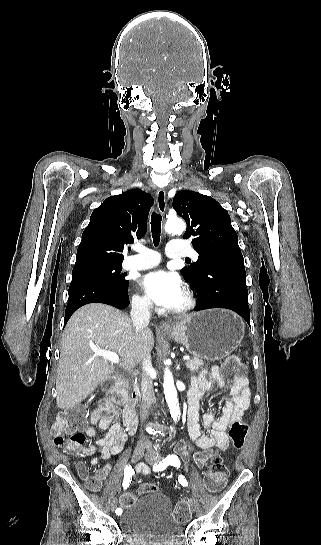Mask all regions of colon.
Segmentation results:
<instances>
[{
	"instance_id": "1",
	"label": "colon",
	"mask_w": 321,
	"mask_h": 545,
	"mask_svg": "<svg viewBox=\"0 0 321 545\" xmlns=\"http://www.w3.org/2000/svg\"><path fill=\"white\" fill-rule=\"evenodd\" d=\"M222 370L226 376L233 378L236 382L244 378L246 368L238 358L229 357L224 361ZM84 418L85 410L81 407L65 410L58 415L53 424L52 433L55 445L63 452L77 454L81 450L86 440L83 433L85 426ZM248 429V424L242 420H236L231 423L229 438L235 449H240L244 445ZM77 471L90 490L97 491L100 488L101 481L96 476L89 475L88 469L83 463L78 464ZM227 477L228 468L223 459L220 456H214L204 477L207 490L212 493L219 492L224 487ZM155 491H157V487L154 484L148 483L140 487V493ZM135 500V494L125 493L120 497L118 504L122 509H125L131 506ZM173 514L180 522L188 521L190 518L188 504L186 502H179L175 506Z\"/></svg>"
}]
</instances>
